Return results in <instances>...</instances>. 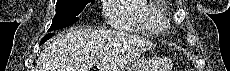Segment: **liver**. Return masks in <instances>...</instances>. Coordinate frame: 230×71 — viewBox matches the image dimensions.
I'll return each instance as SVG.
<instances>
[{"label":"liver","instance_id":"obj_1","mask_svg":"<svg viewBox=\"0 0 230 71\" xmlns=\"http://www.w3.org/2000/svg\"><path fill=\"white\" fill-rule=\"evenodd\" d=\"M154 47L149 40L124 32L75 28L46 43L36 71H120L142 52ZM102 53V57H97Z\"/></svg>","mask_w":230,"mask_h":71}]
</instances>
